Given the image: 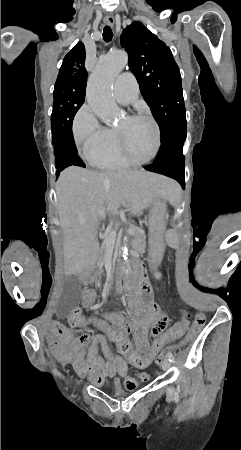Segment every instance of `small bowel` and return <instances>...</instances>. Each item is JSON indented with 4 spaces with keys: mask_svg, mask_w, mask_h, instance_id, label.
Returning a JSON list of instances; mask_svg holds the SVG:
<instances>
[{
    "mask_svg": "<svg viewBox=\"0 0 241 450\" xmlns=\"http://www.w3.org/2000/svg\"><path fill=\"white\" fill-rule=\"evenodd\" d=\"M85 287L82 304L87 308L93 307L97 293L91 287ZM128 305L130 307H136L137 305L144 307L146 311L144 314L146 316H134L133 324L117 313L108 312L105 314L108 322L104 324H116L118 326L116 333H125L127 335V331H133V347H146L149 352L150 343L147 337V330L143 325H151L149 334L155 337L157 333H161L160 330H163L166 325H169L171 317L163 316L164 312L162 310L158 311L155 298H141L138 300L136 298H130ZM95 324L98 327L102 326L97 323ZM54 326L56 328L51 330L53 335H66L67 330L64 327H60L61 323L59 321H56ZM84 326L86 325L80 323L77 327ZM178 331H183L184 333L185 330ZM106 334L102 332L101 334L90 337L87 334L69 332L67 333V341L70 345L64 344L60 347L61 342L58 339L49 340L47 345L54 348L60 347L57 351L58 356L72 362L77 373L81 376H87L92 384L102 385L106 379L119 375L123 377V385L126 389H135L137 383L129 376L130 361H125L123 356H112L113 349L110 347L109 342L105 340ZM99 350L102 356L98 354ZM137 377L143 383L150 380V375L146 372L138 373Z\"/></svg>",
    "mask_w": 241,
    "mask_h": 450,
    "instance_id": "c3829d8e",
    "label": "small bowel"
}]
</instances>
